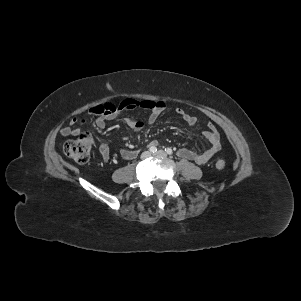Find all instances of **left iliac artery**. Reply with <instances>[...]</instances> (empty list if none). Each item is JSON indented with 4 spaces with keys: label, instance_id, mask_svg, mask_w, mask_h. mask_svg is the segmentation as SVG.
<instances>
[{
    "label": "left iliac artery",
    "instance_id": "obj_1",
    "mask_svg": "<svg viewBox=\"0 0 301 301\" xmlns=\"http://www.w3.org/2000/svg\"><path fill=\"white\" fill-rule=\"evenodd\" d=\"M165 151H166L167 154H169V155H172V154H173V151H172L171 148H167V149H165Z\"/></svg>",
    "mask_w": 301,
    "mask_h": 301
}]
</instances>
